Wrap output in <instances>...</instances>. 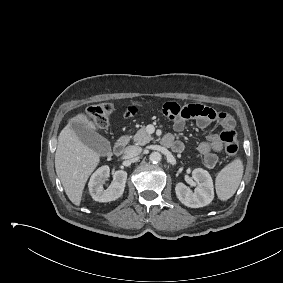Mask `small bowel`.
Returning <instances> with one entry per match:
<instances>
[{
    "mask_svg": "<svg viewBox=\"0 0 283 283\" xmlns=\"http://www.w3.org/2000/svg\"><path fill=\"white\" fill-rule=\"evenodd\" d=\"M139 107L131 105L128 107L125 117H131L137 114ZM164 115L171 120L173 129L176 132H182L187 120L194 119L200 129H206L212 123H217L224 130L233 129L235 126L234 119L223 111H217L200 104H188L180 106L175 102H167L163 105ZM163 144L171 147L175 152L185 150V145L176 140L172 134H168L163 139ZM198 152L202 156L204 164L208 168H213L218 162L217 153L223 149L222 142L218 135L209 134L207 140L198 145Z\"/></svg>",
    "mask_w": 283,
    "mask_h": 283,
    "instance_id": "small-bowel-1",
    "label": "small bowel"
}]
</instances>
